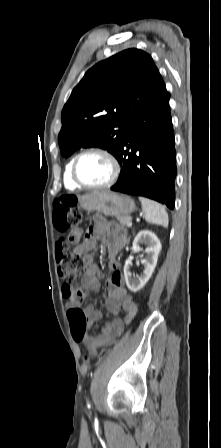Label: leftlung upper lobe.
Listing matches in <instances>:
<instances>
[{
  "label": "left lung upper lobe",
  "instance_id": "5c2ea615",
  "mask_svg": "<svg viewBox=\"0 0 221 448\" xmlns=\"http://www.w3.org/2000/svg\"><path fill=\"white\" fill-rule=\"evenodd\" d=\"M166 89L146 52L124 50L89 69L65 104L58 136L61 153L100 147L117 157L141 110Z\"/></svg>",
  "mask_w": 221,
  "mask_h": 448
}]
</instances>
